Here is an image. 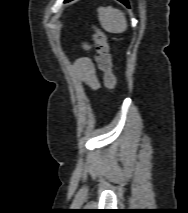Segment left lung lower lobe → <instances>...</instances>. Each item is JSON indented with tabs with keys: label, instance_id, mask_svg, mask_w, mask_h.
I'll return each instance as SVG.
<instances>
[{
	"label": "left lung lower lobe",
	"instance_id": "0a47b994",
	"mask_svg": "<svg viewBox=\"0 0 188 213\" xmlns=\"http://www.w3.org/2000/svg\"><path fill=\"white\" fill-rule=\"evenodd\" d=\"M68 1H71V0H65V2H68ZM118 1L122 2V3L125 4L126 6H129L127 0H118Z\"/></svg>",
	"mask_w": 188,
	"mask_h": 213
}]
</instances>
